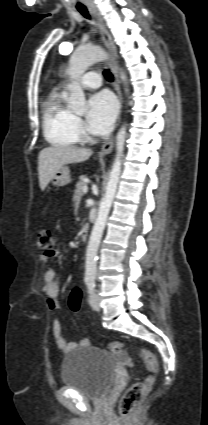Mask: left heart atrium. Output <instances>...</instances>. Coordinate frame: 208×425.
<instances>
[{
  "instance_id": "obj_1",
  "label": "left heart atrium",
  "mask_w": 208,
  "mask_h": 425,
  "mask_svg": "<svg viewBox=\"0 0 208 425\" xmlns=\"http://www.w3.org/2000/svg\"><path fill=\"white\" fill-rule=\"evenodd\" d=\"M117 102L114 96L102 91L94 94L88 102L86 126L90 133L95 135L107 134L117 115Z\"/></svg>"
}]
</instances>
